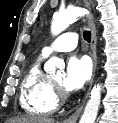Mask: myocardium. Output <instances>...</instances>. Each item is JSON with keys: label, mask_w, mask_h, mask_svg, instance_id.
Returning <instances> with one entry per match:
<instances>
[{"label": "myocardium", "mask_w": 118, "mask_h": 123, "mask_svg": "<svg viewBox=\"0 0 118 123\" xmlns=\"http://www.w3.org/2000/svg\"><path fill=\"white\" fill-rule=\"evenodd\" d=\"M52 86H53V89H54V92L57 98H60L62 100H65L67 98L66 92L61 88L60 85L52 81Z\"/></svg>", "instance_id": "obj_1"}]
</instances>
